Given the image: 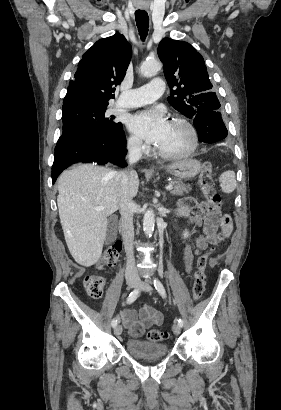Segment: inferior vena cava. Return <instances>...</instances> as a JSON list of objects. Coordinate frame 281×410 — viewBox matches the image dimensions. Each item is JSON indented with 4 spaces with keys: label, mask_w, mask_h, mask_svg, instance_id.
<instances>
[{
    "label": "inferior vena cava",
    "mask_w": 281,
    "mask_h": 410,
    "mask_svg": "<svg viewBox=\"0 0 281 410\" xmlns=\"http://www.w3.org/2000/svg\"><path fill=\"white\" fill-rule=\"evenodd\" d=\"M127 161L133 165L141 158V143L139 141H130L127 145ZM134 170L124 169L115 172L114 182L117 190L119 201V211L121 214V233L127 256V265L125 271L126 280L139 281V275L135 266L133 244H134V227H133V208L132 198L129 196V176Z\"/></svg>",
    "instance_id": "obj_1"
}]
</instances>
